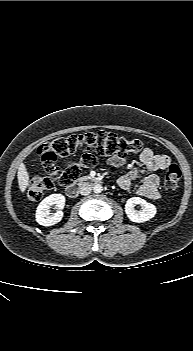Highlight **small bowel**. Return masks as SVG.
<instances>
[{"instance_id": "obj_1", "label": "small bowel", "mask_w": 193, "mask_h": 351, "mask_svg": "<svg viewBox=\"0 0 193 351\" xmlns=\"http://www.w3.org/2000/svg\"><path fill=\"white\" fill-rule=\"evenodd\" d=\"M107 163L113 167H122L126 164V159L121 155H111L106 159ZM140 161L143 163L146 174L142 175L139 168H133L118 179V185L122 190L130 191L141 197L151 200H158L161 195L159 191V177L156 172L166 168L170 163V158L165 154H156L150 148H145L140 154ZM140 179L138 185L134 182Z\"/></svg>"}]
</instances>
